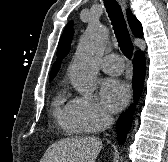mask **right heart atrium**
I'll list each match as a JSON object with an SVG mask.
<instances>
[{
	"instance_id": "d8ad5b80",
	"label": "right heart atrium",
	"mask_w": 168,
	"mask_h": 162,
	"mask_svg": "<svg viewBox=\"0 0 168 162\" xmlns=\"http://www.w3.org/2000/svg\"><path fill=\"white\" fill-rule=\"evenodd\" d=\"M75 123L88 133H97L110 121L109 115L94 97H75L70 104Z\"/></svg>"
}]
</instances>
